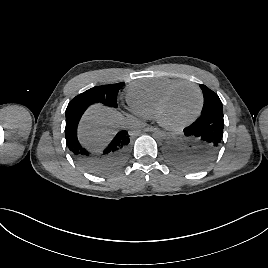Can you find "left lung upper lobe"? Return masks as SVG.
<instances>
[{
  "label": "left lung upper lobe",
  "instance_id": "5c2ea615",
  "mask_svg": "<svg viewBox=\"0 0 268 268\" xmlns=\"http://www.w3.org/2000/svg\"><path fill=\"white\" fill-rule=\"evenodd\" d=\"M200 88L202 89L204 96V106L201 112V116L212 113L223 114L222 102L218 95L205 85L201 84Z\"/></svg>",
  "mask_w": 268,
  "mask_h": 268
}]
</instances>
